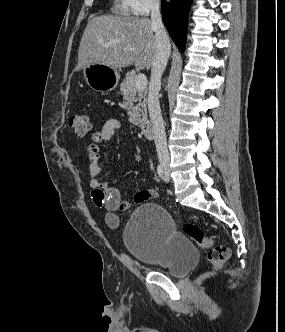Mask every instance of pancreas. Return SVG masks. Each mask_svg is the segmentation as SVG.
I'll return each instance as SVG.
<instances>
[{"label": "pancreas", "instance_id": "obj_1", "mask_svg": "<svg viewBox=\"0 0 285 332\" xmlns=\"http://www.w3.org/2000/svg\"><path fill=\"white\" fill-rule=\"evenodd\" d=\"M136 81L137 75L135 73H127L124 81L121 83L120 91L128 109V115L130 116L131 122L143 127L147 122V89L146 87L143 89H137ZM134 103H136L135 106Z\"/></svg>", "mask_w": 285, "mask_h": 332}]
</instances>
